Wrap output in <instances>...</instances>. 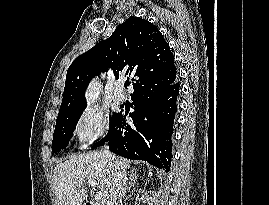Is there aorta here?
I'll return each instance as SVG.
<instances>
[{"label": "aorta", "instance_id": "aorta-1", "mask_svg": "<svg viewBox=\"0 0 269 205\" xmlns=\"http://www.w3.org/2000/svg\"><path fill=\"white\" fill-rule=\"evenodd\" d=\"M99 90V84L97 82H93L87 92V99L89 104H93L96 99V93Z\"/></svg>", "mask_w": 269, "mask_h": 205}]
</instances>
